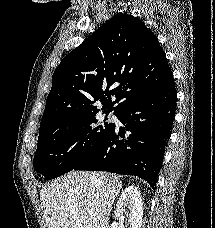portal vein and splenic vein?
<instances>
[{"label": "portal vein and splenic vein", "mask_w": 215, "mask_h": 228, "mask_svg": "<svg viewBox=\"0 0 215 228\" xmlns=\"http://www.w3.org/2000/svg\"><path fill=\"white\" fill-rule=\"evenodd\" d=\"M88 214H92V212H88Z\"/></svg>", "instance_id": "portal-vein-and-splenic-vein-1"}]
</instances>
